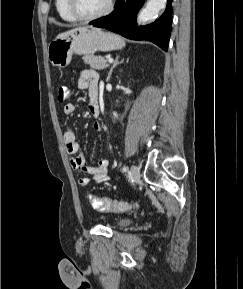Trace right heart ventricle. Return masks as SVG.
Returning <instances> with one entry per match:
<instances>
[{
  "instance_id": "obj_1",
  "label": "right heart ventricle",
  "mask_w": 243,
  "mask_h": 289,
  "mask_svg": "<svg viewBox=\"0 0 243 289\" xmlns=\"http://www.w3.org/2000/svg\"><path fill=\"white\" fill-rule=\"evenodd\" d=\"M56 10L61 17L62 20L66 22H76L77 19L74 18L69 9H68V1L67 0H56L55 2Z\"/></svg>"
}]
</instances>
